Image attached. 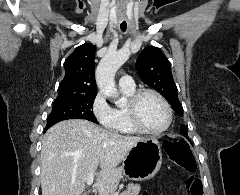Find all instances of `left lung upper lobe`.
Here are the masks:
<instances>
[{
	"instance_id": "1",
	"label": "left lung upper lobe",
	"mask_w": 240,
	"mask_h": 195,
	"mask_svg": "<svg viewBox=\"0 0 240 195\" xmlns=\"http://www.w3.org/2000/svg\"><path fill=\"white\" fill-rule=\"evenodd\" d=\"M136 69L142 81L161 93L179 116L183 107L178 99V90L164 53L157 47H147L139 55ZM181 134L188 137V127L181 125Z\"/></svg>"
}]
</instances>
